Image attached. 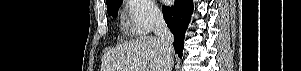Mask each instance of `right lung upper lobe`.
Returning a JSON list of instances; mask_svg holds the SVG:
<instances>
[{"instance_id":"obj_1","label":"right lung upper lobe","mask_w":301,"mask_h":71,"mask_svg":"<svg viewBox=\"0 0 301 71\" xmlns=\"http://www.w3.org/2000/svg\"><path fill=\"white\" fill-rule=\"evenodd\" d=\"M111 1H113V0H106V3H109V2H111Z\"/></svg>"}]
</instances>
